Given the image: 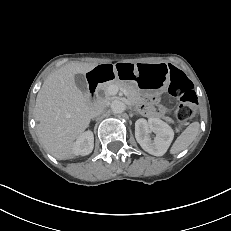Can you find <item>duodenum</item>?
I'll return each instance as SVG.
<instances>
[{
  "mask_svg": "<svg viewBox=\"0 0 231 231\" xmlns=\"http://www.w3.org/2000/svg\"><path fill=\"white\" fill-rule=\"evenodd\" d=\"M108 75V70L102 68L96 71L90 78H89V91L91 98L96 97V89L98 84L103 81Z\"/></svg>",
  "mask_w": 231,
  "mask_h": 231,
  "instance_id": "1",
  "label": "duodenum"
}]
</instances>
